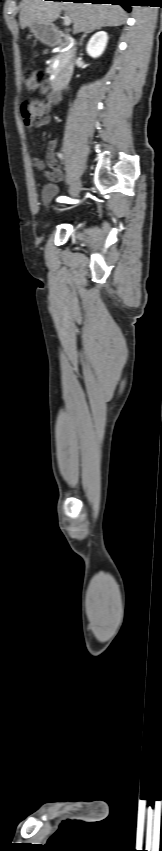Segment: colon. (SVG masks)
<instances>
[{
  "mask_svg": "<svg viewBox=\"0 0 162 851\" xmlns=\"http://www.w3.org/2000/svg\"><path fill=\"white\" fill-rule=\"evenodd\" d=\"M24 81H25L26 88L29 91H33V90H35L36 88L39 87V85L43 81V78H42V75L39 71L27 70L24 73Z\"/></svg>",
  "mask_w": 162,
  "mask_h": 851,
  "instance_id": "obj_1",
  "label": "colon"
}]
</instances>
